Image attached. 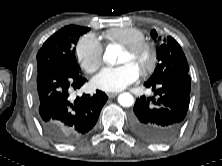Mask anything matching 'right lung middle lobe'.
I'll use <instances>...</instances> for the list:
<instances>
[{"instance_id":"dd1d6c3e","label":"right lung middle lobe","mask_w":222,"mask_h":166,"mask_svg":"<svg viewBox=\"0 0 222 166\" xmlns=\"http://www.w3.org/2000/svg\"><path fill=\"white\" fill-rule=\"evenodd\" d=\"M88 27L68 25L49 37L37 54V73L51 67H65L79 72L75 45Z\"/></svg>"}]
</instances>
